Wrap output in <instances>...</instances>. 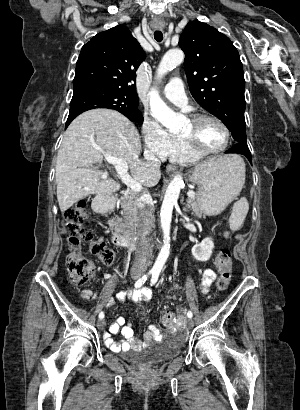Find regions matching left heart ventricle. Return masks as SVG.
Here are the masks:
<instances>
[{
    "label": "left heart ventricle",
    "instance_id": "obj_1",
    "mask_svg": "<svg viewBox=\"0 0 300 410\" xmlns=\"http://www.w3.org/2000/svg\"><path fill=\"white\" fill-rule=\"evenodd\" d=\"M193 133L198 146L202 150H214L221 147L225 142L223 129L214 121L204 120L196 126L188 121L181 131V135Z\"/></svg>",
    "mask_w": 300,
    "mask_h": 410
}]
</instances>
